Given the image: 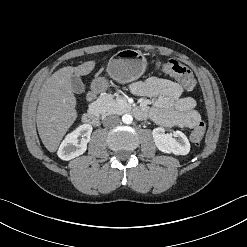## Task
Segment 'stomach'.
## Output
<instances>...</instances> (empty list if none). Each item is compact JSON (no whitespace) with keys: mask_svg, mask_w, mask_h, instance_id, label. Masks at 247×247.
Segmentation results:
<instances>
[{"mask_svg":"<svg viewBox=\"0 0 247 247\" xmlns=\"http://www.w3.org/2000/svg\"><path fill=\"white\" fill-rule=\"evenodd\" d=\"M147 67V61L138 50L125 49L116 53L108 62L109 76L119 83H129L142 76ZM108 87L105 78H97L92 83L94 90L103 91Z\"/></svg>","mask_w":247,"mask_h":247,"instance_id":"stomach-1","label":"stomach"}]
</instances>
